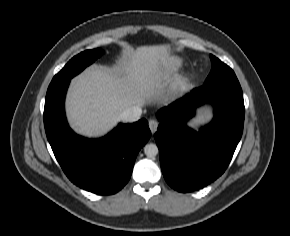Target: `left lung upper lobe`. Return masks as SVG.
I'll use <instances>...</instances> for the list:
<instances>
[{
    "mask_svg": "<svg viewBox=\"0 0 290 236\" xmlns=\"http://www.w3.org/2000/svg\"><path fill=\"white\" fill-rule=\"evenodd\" d=\"M210 58L212 63V70L207 79L205 80V84L236 78L235 73L229 66L221 62L213 55H210Z\"/></svg>",
    "mask_w": 290,
    "mask_h": 236,
    "instance_id": "5c2ea615",
    "label": "left lung upper lobe"
}]
</instances>
